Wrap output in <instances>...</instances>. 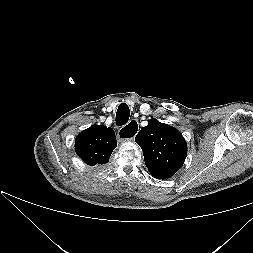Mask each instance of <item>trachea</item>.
I'll use <instances>...</instances> for the list:
<instances>
[{
	"label": "trachea",
	"mask_w": 253,
	"mask_h": 253,
	"mask_svg": "<svg viewBox=\"0 0 253 253\" xmlns=\"http://www.w3.org/2000/svg\"><path fill=\"white\" fill-rule=\"evenodd\" d=\"M129 116L130 111L128 105L125 103L120 104L116 113V124L118 126L126 124L129 120Z\"/></svg>",
	"instance_id": "trachea-1"
}]
</instances>
